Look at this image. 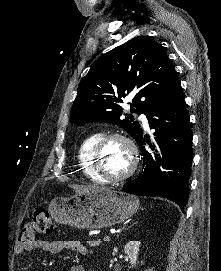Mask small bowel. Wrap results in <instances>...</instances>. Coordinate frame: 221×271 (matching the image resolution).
Instances as JSON below:
<instances>
[{
  "label": "small bowel",
  "mask_w": 221,
  "mask_h": 271,
  "mask_svg": "<svg viewBox=\"0 0 221 271\" xmlns=\"http://www.w3.org/2000/svg\"><path fill=\"white\" fill-rule=\"evenodd\" d=\"M42 250L49 254H59L64 250H71L80 255H87L88 249L86 246L78 240H46V239H33L28 243H19L16 248V254H22L25 252H32L33 250ZM70 271H85L82 265H74Z\"/></svg>",
  "instance_id": "1"
}]
</instances>
